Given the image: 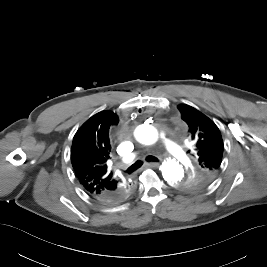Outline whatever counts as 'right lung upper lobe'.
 Wrapping results in <instances>:
<instances>
[{"label":"right lung upper lobe","instance_id":"1","mask_svg":"<svg viewBox=\"0 0 267 267\" xmlns=\"http://www.w3.org/2000/svg\"><path fill=\"white\" fill-rule=\"evenodd\" d=\"M118 122L113 112H99L87 120L73 138L72 166L84 190L95 197L117 192L127 183L113 177L107 167L111 152L109 129Z\"/></svg>","mask_w":267,"mask_h":267}]
</instances>
